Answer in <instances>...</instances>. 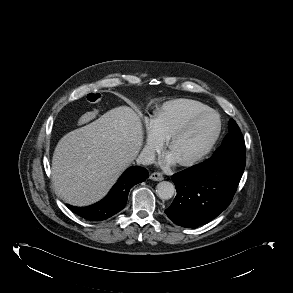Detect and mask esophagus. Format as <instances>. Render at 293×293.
Here are the masks:
<instances>
[{
    "mask_svg": "<svg viewBox=\"0 0 293 293\" xmlns=\"http://www.w3.org/2000/svg\"><path fill=\"white\" fill-rule=\"evenodd\" d=\"M150 179L154 181H162L164 179L163 175L159 172H154L150 175Z\"/></svg>",
    "mask_w": 293,
    "mask_h": 293,
    "instance_id": "1",
    "label": "esophagus"
}]
</instances>
